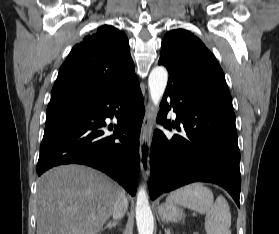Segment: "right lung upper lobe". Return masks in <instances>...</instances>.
<instances>
[{"label":"right lung upper lobe","instance_id":"cb5924a9","mask_svg":"<svg viewBox=\"0 0 279 234\" xmlns=\"http://www.w3.org/2000/svg\"><path fill=\"white\" fill-rule=\"evenodd\" d=\"M134 78L137 77L126 34L103 25L71 50L60 67L48 108L93 102Z\"/></svg>","mask_w":279,"mask_h":234}]
</instances>
